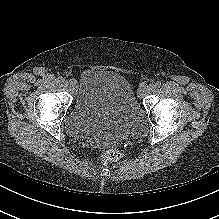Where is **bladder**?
Segmentation results:
<instances>
[{"label": "bladder", "instance_id": "bladder-1", "mask_svg": "<svg viewBox=\"0 0 219 219\" xmlns=\"http://www.w3.org/2000/svg\"><path fill=\"white\" fill-rule=\"evenodd\" d=\"M75 91L65 118L71 136L109 145L144 133L145 111L121 74L86 70L78 77Z\"/></svg>", "mask_w": 219, "mask_h": 219}]
</instances>
